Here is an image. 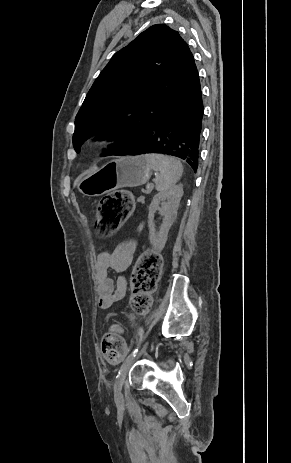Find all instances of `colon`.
Masks as SVG:
<instances>
[{
	"instance_id": "obj_1",
	"label": "colon",
	"mask_w": 291,
	"mask_h": 463,
	"mask_svg": "<svg viewBox=\"0 0 291 463\" xmlns=\"http://www.w3.org/2000/svg\"><path fill=\"white\" fill-rule=\"evenodd\" d=\"M134 209V200L127 190L105 195L97 208L96 228L100 234L118 230ZM161 256L154 251L141 255L131 278L132 310L141 314L150 306V293L154 290L161 269ZM102 353L110 363H119L125 354V345L118 326H113L102 338Z\"/></svg>"
}]
</instances>
